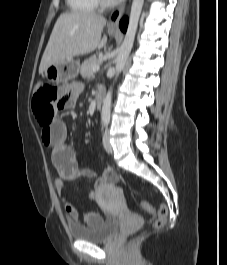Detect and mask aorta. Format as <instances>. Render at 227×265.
<instances>
[{"label":"aorta","instance_id":"762f6f07","mask_svg":"<svg viewBox=\"0 0 227 265\" xmlns=\"http://www.w3.org/2000/svg\"><path fill=\"white\" fill-rule=\"evenodd\" d=\"M143 3H144V0H133L132 2L127 31L125 34L124 41L120 47L119 55L116 60V66H115L116 77L115 78H117L119 73L123 70L126 64V61L128 59V56L131 52V49L133 47ZM111 103H112V89H110L107 92L104 98V101H103L101 119H102V122L104 123H107L110 121Z\"/></svg>","mask_w":227,"mask_h":265}]
</instances>
